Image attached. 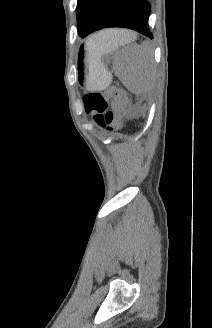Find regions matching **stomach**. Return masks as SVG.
<instances>
[{
	"label": "stomach",
	"mask_w": 212,
	"mask_h": 328,
	"mask_svg": "<svg viewBox=\"0 0 212 328\" xmlns=\"http://www.w3.org/2000/svg\"><path fill=\"white\" fill-rule=\"evenodd\" d=\"M79 75L81 81L84 76L88 90L105 89L111 81V74L101 62L100 57L89 53L88 50L83 63L81 60L79 62Z\"/></svg>",
	"instance_id": "stomach-1"
}]
</instances>
